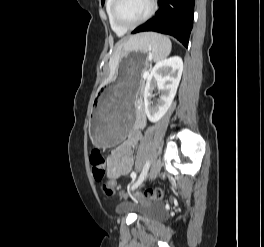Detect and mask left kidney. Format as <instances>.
<instances>
[{
	"label": "left kidney",
	"mask_w": 264,
	"mask_h": 247,
	"mask_svg": "<svg viewBox=\"0 0 264 247\" xmlns=\"http://www.w3.org/2000/svg\"><path fill=\"white\" fill-rule=\"evenodd\" d=\"M182 71L183 61L178 56L157 62L151 70L144 89L145 113L149 121L158 122L168 111L175 97ZM156 86L161 91V95L157 104L153 105L151 97Z\"/></svg>",
	"instance_id": "1"
}]
</instances>
